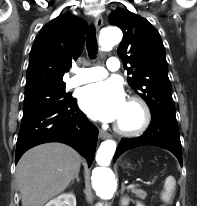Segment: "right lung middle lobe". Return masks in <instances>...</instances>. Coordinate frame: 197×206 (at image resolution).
<instances>
[{"mask_svg": "<svg viewBox=\"0 0 197 206\" xmlns=\"http://www.w3.org/2000/svg\"><path fill=\"white\" fill-rule=\"evenodd\" d=\"M71 100L65 93V85H44L25 88L23 117L39 111L60 107Z\"/></svg>", "mask_w": 197, "mask_h": 206, "instance_id": "dd1d6c3e", "label": "right lung middle lobe"}]
</instances>
